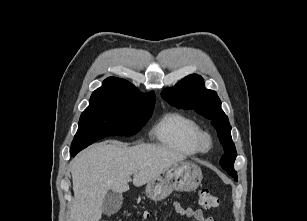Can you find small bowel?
<instances>
[{"label": "small bowel", "instance_id": "c3829d8e", "mask_svg": "<svg viewBox=\"0 0 307 221\" xmlns=\"http://www.w3.org/2000/svg\"><path fill=\"white\" fill-rule=\"evenodd\" d=\"M173 208L176 213L186 217H193L197 221H214L212 217H205L203 211L200 209L194 210L190 207H184L179 203H174Z\"/></svg>", "mask_w": 307, "mask_h": 221}]
</instances>
